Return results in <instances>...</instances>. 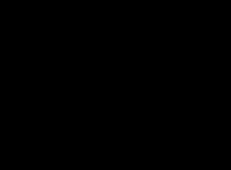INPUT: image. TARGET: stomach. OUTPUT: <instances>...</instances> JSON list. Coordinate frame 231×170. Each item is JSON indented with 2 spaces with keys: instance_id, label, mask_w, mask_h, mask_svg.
<instances>
[{
  "instance_id": "0dacf381",
  "label": "stomach",
  "mask_w": 231,
  "mask_h": 170,
  "mask_svg": "<svg viewBox=\"0 0 231 170\" xmlns=\"http://www.w3.org/2000/svg\"><path fill=\"white\" fill-rule=\"evenodd\" d=\"M138 31L141 32V29L138 28ZM130 44L138 53L140 64L144 71L148 74L156 72V75L159 76L160 65L154 45L149 40L141 37V35H132Z\"/></svg>"
}]
</instances>
